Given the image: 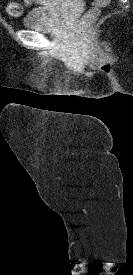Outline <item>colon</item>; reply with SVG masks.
<instances>
[{"label": "colon", "instance_id": "5ec220e1", "mask_svg": "<svg viewBox=\"0 0 133 275\" xmlns=\"http://www.w3.org/2000/svg\"><path fill=\"white\" fill-rule=\"evenodd\" d=\"M94 6L93 8L88 12V15L92 16V17H96L101 9L104 7V5L106 4V2H104L103 0H94ZM7 12L9 15L14 16V17H18L21 15L22 13V7L21 4L16 3V2H11L7 5Z\"/></svg>", "mask_w": 133, "mask_h": 275}]
</instances>
